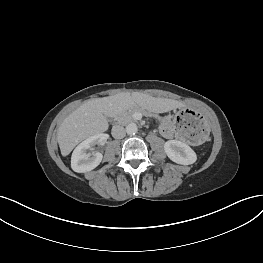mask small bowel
Listing matches in <instances>:
<instances>
[{"mask_svg": "<svg viewBox=\"0 0 263 263\" xmlns=\"http://www.w3.org/2000/svg\"><path fill=\"white\" fill-rule=\"evenodd\" d=\"M161 134L166 138H173L176 135L173 123L170 118L166 117L160 124Z\"/></svg>", "mask_w": 263, "mask_h": 263, "instance_id": "obj_1", "label": "small bowel"}]
</instances>
